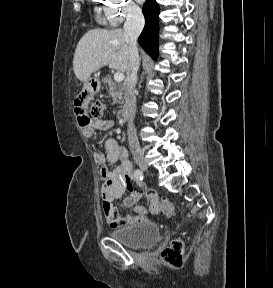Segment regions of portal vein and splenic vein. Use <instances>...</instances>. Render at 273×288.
<instances>
[{
    "label": "portal vein and splenic vein",
    "instance_id": "obj_1",
    "mask_svg": "<svg viewBox=\"0 0 273 288\" xmlns=\"http://www.w3.org/2000/svg\"><path fill=\"white\" fill-rule=\"evenodd\" d=\"M114 80L116 82H122L124 80V74L121 72H117L114 74Z\"/></svg>",
    "mask_w": 273,
    "mask_h": 288
}]
</instances>
